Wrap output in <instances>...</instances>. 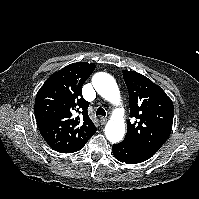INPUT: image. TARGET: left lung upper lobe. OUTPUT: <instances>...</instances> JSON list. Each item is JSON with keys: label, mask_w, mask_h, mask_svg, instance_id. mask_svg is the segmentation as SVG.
I'll return each mask as SVG.
<instances>
[{"label": "left lung upper lobe", "mask_w": 199, "mask_h": 199, "mask_svg": "<svg viewBox=\"0 0 199 199\" xmlns=\"http://www.w3.org/2000/svg\"><path fill=\"white\" fill-rule=\"evenodd\" d=\"M130 99V117L124 141L154 155L169 137L174 107L158 85L135 71L123 70Z\"/></svg>", "instance_id": "obj_1"}]
</instances>
